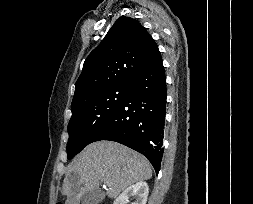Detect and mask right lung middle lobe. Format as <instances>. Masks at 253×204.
<instances>
[{
    "label": "right lung middle lobe",
    "mask_w": 253,
    "mask_h": 204,
    "mask_svg": "<svg viewBox=\"0 0 253 204\" xmlns=\"http://www.w3.org/2000/svg\"><path fill=\"white\" fill-rule=\"evenodd\" d=\"M129 85L113 86L99 91L71 106L68 124V159L93 142L124 101Z\"/></svg>",
    "instance_id": "obj_1"
}]
</instances>
